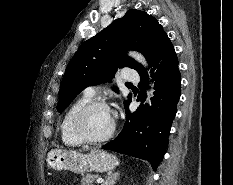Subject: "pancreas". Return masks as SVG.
<instances>
[{
    "label": "pancreas",
    "mask_w": 233,
    "mask_h": 185,
    "mask_svg": "<svg viewBox=\"0 0 233 185\" xmlns=\"http://www.w3.org/2000/svg\"><path fill=\"white\" fill-rule=\"evenodd\" d=\"M99 178L98 175L87 174L81 179L80 185H93L95 179Z\"/></svg>",
    "instance_id": "obj_1"
}]
</instances>
